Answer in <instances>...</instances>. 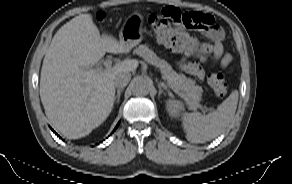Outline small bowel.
Wrapping results in <instances>:
<instances>
[{"label": "small bowel", "mask_w": 292, "mask_h": 184, "mask_svg": "<svg viewBox=\"0 0 292 184\" xmlns=\"http://www.w3.org/2000/svg\"><path fill=\"white\" fill-rule=\"evenodd\" d=\"M207 16L212 22L211 26L199 29L203 34H205L207 38H209L213 42L214 61L220 63V65L225 68L231 63L232 56L224 52V32L212 16ZM179 67L183 72L198 79H203L205 76V71L203 67L197 62L187 61L186 57H183L179 61Z\"/></svg>", "instance_id": "small-bowel-1"}]
</instances>
